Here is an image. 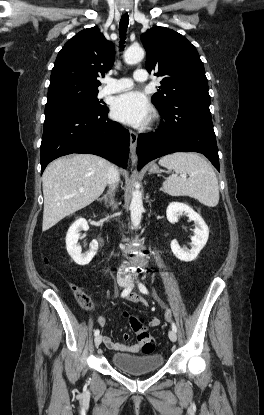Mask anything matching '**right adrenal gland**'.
Returning a JSON list of instances; mask_svg holds the SVG:
<instances>
[{"mask_svg":"<svg viewBox=\"0 0 264 415\" xmlns=\"http://www.w3.org/2000/svg\"><path fill=\"white\" fill-rule=\"evenodd\" d=\"M114 195V189L109 191L106 195H104L102 198L98 199V201H104L105 206L108 207L110 204L111 197Z\"/></svg>","mask_w":264,"mask_h":415,"instance_id":"right-adrenal-gland-1","label":"right adrenal gland"}]
</instances>
